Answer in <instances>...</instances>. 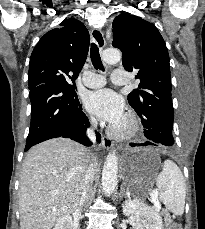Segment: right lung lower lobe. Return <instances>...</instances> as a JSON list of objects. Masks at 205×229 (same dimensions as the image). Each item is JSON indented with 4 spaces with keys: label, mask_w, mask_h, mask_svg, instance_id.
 I'll list each match as a JSON object with an SVG mask.
<instances>
[{
    "label": "right lung lower lobe",
    "mask_w": 205,
    "mask_h": 229,
    "mask_svg": "<svg viewBox=\"0 0 205 229\" xmlns=\"http://www.w3.org/2000/svg\"><path fill=\"white\" fill-rule=\"evenodd\" d=\"M31 125L25 151L42 141L66 137L85 146L89 121L82 111L75 88L59 83H45L30 90ZM97 141L101 136L96 132Z\"/></svg>",
    "instance_id": "1"
}]
</instances>
